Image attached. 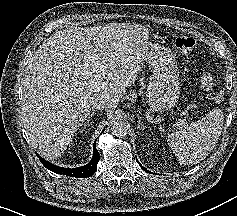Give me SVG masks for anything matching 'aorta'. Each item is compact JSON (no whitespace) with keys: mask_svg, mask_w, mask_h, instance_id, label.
Listing matches in <instances>:
<instances>
[{"mask_svg":"<svg viewBox=\"0 0 237 216\" xmlns=\"http://www.w3.org/2000/svg\"><path fill=\"white\" fill-rule=\"evenodd\" d=\"M111 131L114 136L122 138L127 135L128 125L126 122L117 118L112 124Z\"/></svg>","mask_w":237,"mask_h":216,"instance_id":"obj_1","label":"aorta"}]
</instances>
